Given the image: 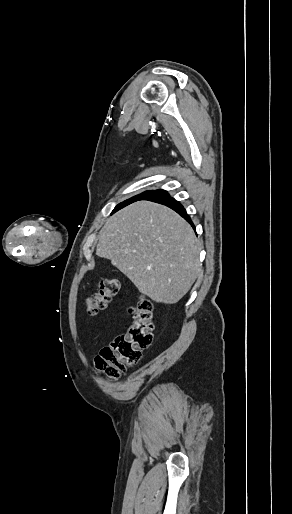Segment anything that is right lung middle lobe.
<instances>
[{
    "label": "right lung middle lobe",
    "instance_id": "dd1d6c3e",
    "mask_svg": "<svg viewBox=\"0 0 292 514\" xmlns=\"http://www.w3.org/2000/svg\"><path fill=\"white\" fill-rule=\"evenodd\" d=\"M148 192H149V191H145V192H143V193H141V194L135 195V196H133V197H131V198H129V199H127V200H125V201L121 202L120 204H118V205L115 207L114 212H115V211H117V210H119V209H121V208H123V207H125V206H127V205H129V204H131V203H133V202H136V201H138V200H141V199H142V198H143V197H144Z\"/></svg>",
    "mask_w": 292,
    "mask_h": 514
}]
</instances>
